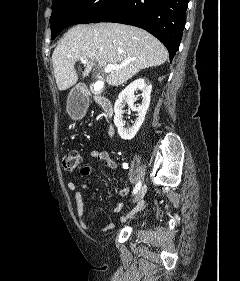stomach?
<instances>
[{
    "label": "stomach",
    "instance_id": "0dacf381",
    "mask_svg": "<svg viewBox=\"0 0 240 281\" xmlns=\"http://www.w3.org/2000/svg\"><path fill=\"white\" fill-rule=\"evenodd\" d=\"M74 89L70 92L67 103V112L73 118H78L82 115V110L73 99Z\"/></svg>",
    "mask_w": 240,
    "mask_h": 281
}]
</instances>
